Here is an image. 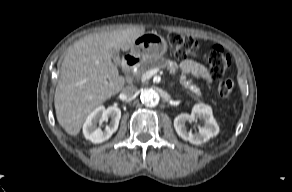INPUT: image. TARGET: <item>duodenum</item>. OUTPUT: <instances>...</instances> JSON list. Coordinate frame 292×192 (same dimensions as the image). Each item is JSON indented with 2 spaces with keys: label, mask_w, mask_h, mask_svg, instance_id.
<instances>
[{
  "label": "duodenum",
  "mask_w": 292,
  "mask_h": 192,
  "mask_svg": "<svg viewBox=\"0 0 292 192\" xmlns=\"http://www.w3.org/2000/svg\"><path fill=\"white\" fill-rule=\"evenodd\" d=\"M139 58L133 55H127L122 63V69L123 70H129L133 67H135L139 63Z\"/></svg>",
  "instance_id": "410a0bca"
}]
</instances>
